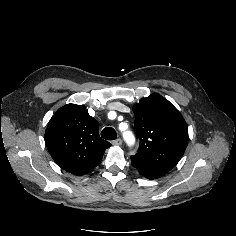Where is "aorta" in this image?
Returning a JSON list of instances; mask_svg holds the SVG:
<instances>
[{
    "label": "aorta",
    "mask_w": 236,
    "mask_h": 236,
    "mask_svg": "<svg viewBox=\"0 0 236 236\" xmlns=\"http://www.w3.org/2000/svg\"><path fill=\"white\" fill-rule=\"evenodd\" d=\"M127 137L132 138L130 134H127Z\"/></svg>",
    "instance_id": "aorta-1"
}]
</instances>
